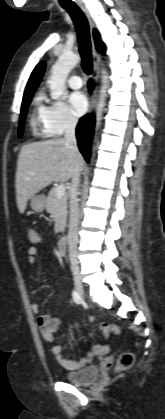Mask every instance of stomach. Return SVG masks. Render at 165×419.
Segmentation results:
<instances>
[{"label":"stomach","mask_w":165,"mask_h":419,"mask_svg":"<svg viewBox=\"0 0 165 419\" xmlns=\"http://www.w3.org/2000/svg\"><path fill=\"white\" fill-rule=\"evenodd\" d=\"M46 199L43 195H34L30 198V207L35 212H42L45 208Z\"/></svg>","instance_id":"stomach-1"}]
</instances>
